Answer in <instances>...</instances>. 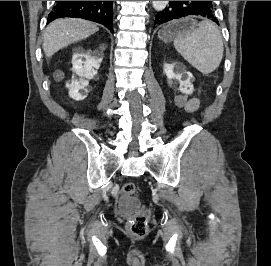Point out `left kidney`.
Listing matches in <instances>:
<instances>
[{
  "label": "left kidney",
  "instance_id": "1",
  "mask_svg": "<svg viewBox=\"0 0 271 266\" xmlns=\"http://www.w3.org/2000/svg\"><path fill=\"white\" fill-rule=\"evenodd\" d=\"M164 72L168 78V80L175 79L179 81V91L184 94H191L192 84L190 82L191 74L184 70V67L180 65H176V63L165 64Z\"/></svg>",
  "mask_w": 271,
  "mask_h": 266
}]
</instances>
